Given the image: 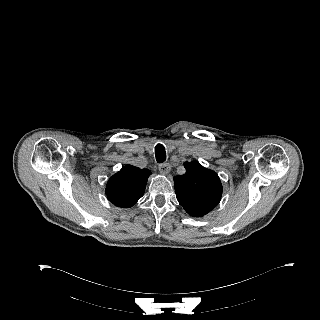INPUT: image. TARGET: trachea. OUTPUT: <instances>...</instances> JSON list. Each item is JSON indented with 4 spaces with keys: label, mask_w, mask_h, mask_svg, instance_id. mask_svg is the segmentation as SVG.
<instances>
[{
    "label": "trachea",
    "mask_w": 320,
    "mask_h": 320,
    "mask_svg": "<svg viewBox=\"0 0 320 320\" xmlns=\"http://www.w3.org/2000/svg\"><path fill=\"white\" fill-rule=\"evenodd\" d=\"M155 156L158 163H163L166 160L165 147L160 143L155 146Z\"/></svg>",
    "instance_id": "3493384b"
}]
</instances>
